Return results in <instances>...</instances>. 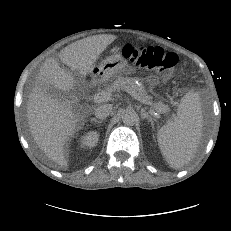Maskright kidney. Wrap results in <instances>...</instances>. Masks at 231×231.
Here are the masks:
<instances>
[{
  "label": "right kidney",
  "mask_w": 231,
  "mask_h": 231,
  "mask_svg": "<svg viewBox=\"0 0 231 231\" xmlns=\"http://www.w3.org/2000/svg\"><path fill=\"white\" fill-rule=\"evenodd\" d=\"M98 139H99V135L96 131H89L88 133H86L85 135L81 137V140H80L81 147L83 148L84 147H89V148L95 147L97 145Z\"/></svg>",
  "instance_id": "right-kidney-1"
}]
</instances>
